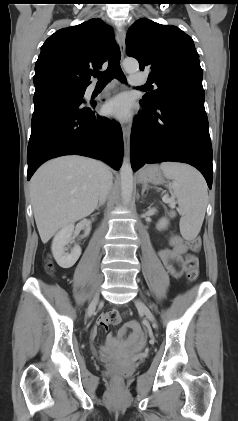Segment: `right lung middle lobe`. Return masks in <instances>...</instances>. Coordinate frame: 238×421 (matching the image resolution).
<instances>
[{
	"instance_id": "1",
	"label": "right lung middle lobe",
	"mask_w": 238,
	"mask_h": 421,
	"mask_svg": "<svg viewBox=\"0 0 238 421\" xmlns=\"http://www.w3.org/2000/svg\"><path fill=\"white\" fill-rule=\"evenodd\" d=\"M58 86L64 87V88H68L74 91H78L80 93H84L86 90V87H80V86H74V85H65V84H56Z\"/></svg>"
}]
</instances>
